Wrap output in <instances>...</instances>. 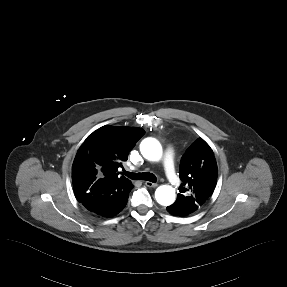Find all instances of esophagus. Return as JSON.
<instances>
[{"label":"esophagus","mask_w":287,"mask_h":287,"mask_svg":"<svg viewBox=\"0 0 287 287\" xmlns=\"http://www.w3.org/2000/svg\"><path fill=\"white\" fill-rule=\"evenodd\" d=\"M144 184H145L146 186L152 187V188H156V187L158 186V184L152 183V182H150V181H146Z\"/></svg>","instance_id":"esophagus-1"}]
</instances>
